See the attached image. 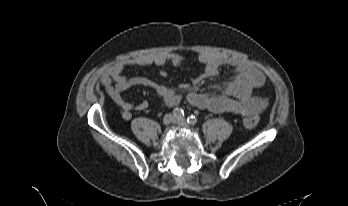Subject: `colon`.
<instances>
[{"label": "colon", "mask_w": 348, "mask_h": 206, "mask_svg": "<svg viewBox=\"0 0 348 206\" xmlns=\"http://www.w3.org/2000/svg\"><path fill=\"white\" fill-rule=\"evenodd\" d=\"M243 123L246 128L254 129L259 123V119L256 115H249L243 119Z\"/></svg>", "instance_id": "1"}]
</instances>
